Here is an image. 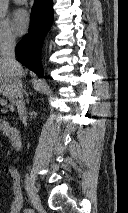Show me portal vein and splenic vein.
I'll return each instance as SVG.
<instances>
[{
    "label": "portal vein and splenic vein",
    "instance_id": "obj_1",
    "mask_svg": "<svg viewBox=\"0 0 128 213\" xmlns=\"http://www.w3.org/2000/svg\"><path fill=\"white\" fill-rule=\"evenodd\" d=\"M7 104V100L5 99H0V105L5 106Z\"/></svg>",
    "mask_w": 128,
    "mask_h": 213
}]
</instances>
